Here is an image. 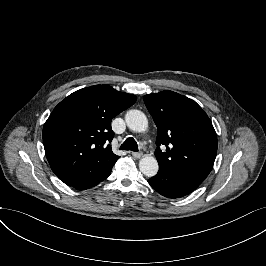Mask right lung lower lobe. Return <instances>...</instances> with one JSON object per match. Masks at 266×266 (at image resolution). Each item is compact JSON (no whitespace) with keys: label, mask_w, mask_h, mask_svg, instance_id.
I'll list each match as a JSON object with an SVG mask.
<instances>
[{"label":"right lung lower lobe","mask_w":266,"mask_h":266,"mask_svg":"<svg viewBox=\"0 0 266 266\" xmlns=\"http://www.w3.org/2000/svg\"><path fill=\"white\" fill-rule=\"evenodd\" d=\"M111 170H108L106 171L104 174H102L101 176H98L97 178H92L88 181H85L79 185H76V186H72L76 189H79V190H85V189H88V188H91V187H94L95 185H97L99 182H101L102 180L106 179L110 173H111Z\"/></svg>","instance_id":"right-lung-lower-lobe-1"}]
</instances>
